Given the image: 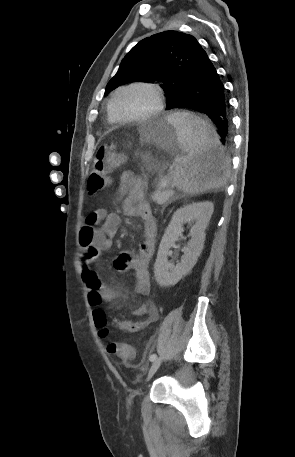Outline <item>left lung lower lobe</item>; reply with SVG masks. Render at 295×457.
<instances>
[{
  "label": "left lung lower lobe",
  "mask_w": 295,
  "mask_h": 457,
  "mask_svg": "<svg viewBox=\"0 0 295 457\" xmlns=\"http://www.w3.org/2000/svg\"><path fill=\"white\" fill-rule=\"evenodd\" d=\"M173 108H189L207 115L216 125L221 143L229 146L231 123L224 87L203 48L189 67L183 90L168 104V109Z\"/></svg>",
  "instance_id": "left-lung-lower-lobe-1"
}]
</instances>
